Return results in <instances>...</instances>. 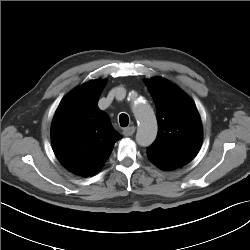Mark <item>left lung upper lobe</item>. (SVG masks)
I'll use <instances>...</instances> for the list:
<instances>
[{"label": "left lung upper lobe", "mask_w": 250, "mask_h": 250, "mask_svg": "<svg viewBox=\"0 0 250 250\" xmlns=\"http://www.w3.org/2000/svg\"><path fill=\"white\" fill-rule=\"evenodd\" d=\"M156 109L158 134L148 153L191 161L202 144V125L192 100L176 85L163 79L145 81Z\"/></svg>", "instance_id": "5c2ea615"}]
</instances>
